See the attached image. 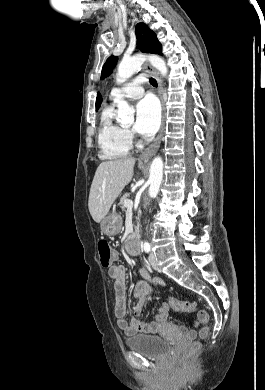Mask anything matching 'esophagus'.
Returning <instances> with one entry per match:
<instances>
[{"mask_svg":"<svg viewBox=\"0 0 265 390\" xmlns=\"http://www.w3.org/2000/svg\"><path fill=\"white\" fill-rule=\"evenodd\" d=\"M145 66H146L147 70L154 76V78L157 81L158 95H159V98H160L161 104H162L163 116H162V125H161L160 131H159V134H158L156 140L154 141V143H152L147 149H145L142 152V154L139 157L140 161H147L150 158V156L153 154V152L159 147L163 133H164V128H165V106H164V100H163V94H162V91H163L162 81H161L157 71L149 63H146Z\"/></svg>","mask_w":265,"mask_h":390,"instance_id":"esophagus-1","label":"esophagus"}]
</instances>
